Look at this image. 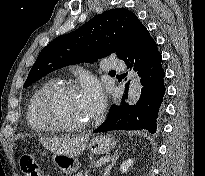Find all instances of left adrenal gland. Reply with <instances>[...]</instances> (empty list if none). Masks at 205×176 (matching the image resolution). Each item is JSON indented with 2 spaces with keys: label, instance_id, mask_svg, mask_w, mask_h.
<instances>
[{
  "label": "left adrenal gland",
  "instance_id": "1",
  "mask_svg": "<svg viewBox=\"0 0 205 176\" xmlns=\"http://www.w3.org/2000/svg\"><path fill=\"white\" fill-rule=\"evenodd\" d=\"M120 155H121V152H118V150L114 152L102 176H110V171L112 167L114 166V164L116 163V161L118 160Z\"/></svg>",
  "mask_w": 205,
  "mask_h": 176
}]
</instances>
